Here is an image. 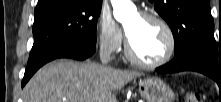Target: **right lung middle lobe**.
<instances>
[{"label": "right lung middle lobe", "instance_id": "dd1d6c3e", "mask_svg": "<svg viewBox=\"0 0 221 102\" xmlns=\"http://www.w3.org/2000/svg\"><path fill=\"white\" fill-rule=\"evenodd\" d=\"M102 2L49 0L37 4L34 15V44L29 59L64 41L96 45V25Z\"/></svg>", "mask_w": 221, "mask_h": 102}]
</instances>
